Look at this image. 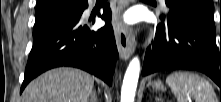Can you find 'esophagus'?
<instances>
[{
    "label": "esophagus",
    "instance_id": "1",
    "mask_svg": "<svg viewBox=\"0 0 221 102\" xmlns=\"http://www.w3.org/2000/svg\"><path fill=\"white\" fill-rule=\"evenodd\" d=\"M113 28L120 57L128 59L135 50V38L132 30L125 27L119 20L118 11L114 15Z\"/></svg>",
    "mask_w": 221,
    "mask_h": 102
}]
</instances>
